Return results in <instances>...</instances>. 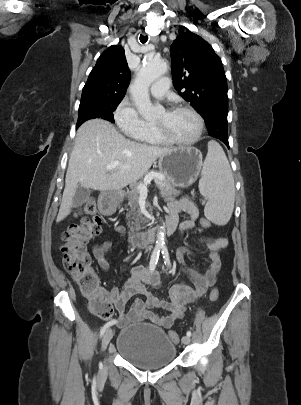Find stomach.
Listing matches in <instances>:
<instances>
[{
	"label": "stomach",
	"mask_w": 301,
	"mask_h": 405,
	"mask_svg": "<svg viewBox=\"0 0 301 405\" xmlns=\"http://www.w3.org/2000/svg\"><path fill=\"white\" fill-rule=\"evenodd\" d=\"M158 166L172 186L187 188L199 177L202 153L192 146L172 148L159 157Z\"/></svg>",
	"instance_id": "obj_1"
}]
</instances>
